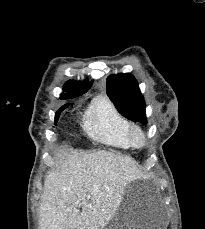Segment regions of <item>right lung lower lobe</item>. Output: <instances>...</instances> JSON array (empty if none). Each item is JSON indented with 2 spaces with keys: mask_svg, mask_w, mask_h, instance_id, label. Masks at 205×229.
<instances>
[{
  "mask_svg": "<svg viewBox=\"0 0 205 229\" xmlns=\"http://www.w3.org/2000/svg\"><path fill=\"white\" fill-rule=\"evenodd\" d=\"M68 106H69V104H66V105H64L63 107H61V108L59 109V111L56 113V122H57V120H58V117H59L60 112L63 111V109H64L65 107H68Z\"/></svg>",
  "mask_w": 205,
  "mask_h": 229,
  "instance_id": "1",
  "label": "right lung lower lobe"
}]
</instances>
